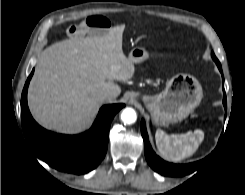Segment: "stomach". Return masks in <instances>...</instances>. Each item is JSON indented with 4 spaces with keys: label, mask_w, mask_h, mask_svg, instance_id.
Here are the masks:
<instances>
[{
    "label": "stomach",
    "mask_w": 245,
    "mask_h": 195,
    "mask_svg": "<svg viewBox=\"0 0 245 195\" xmlns=\"http://www.w3.org/2000/svg\"><path fill=\"white\" fill-rule=\"evenodd\" d=\"M148 52L135 47L129 54L133 63L148 58ZM203 90L199 81L190 74L179 73L167 81L165 89L156 95L141 97L155 125L167 126L185 118L200 104Z\"/></svg>",
    "instance_id": "obj_1"
}]
</instances>
